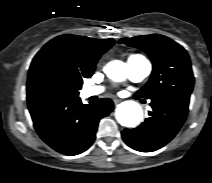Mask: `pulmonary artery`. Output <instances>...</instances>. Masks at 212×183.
<instances>
[{"label":"pulmonary artery","instance_id":"e3ab8cb5","mask_svg":"<svg viewBox=\"0 0 212 183\" xmlns=\"http://www.w3.org/2000/svg\"><path fill=\"white\" fill-rule=\"evenodd\" d=\"M128 77L133 82H140L145 79L151 72V63L141 55L130 57L127 60ZM104 88L101 86H88L83 89L85 97L99 95Z\"/></svg>","mask_w":212,"mask_h":183}]
</instances>
